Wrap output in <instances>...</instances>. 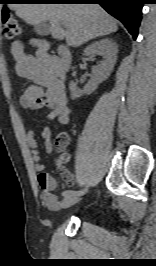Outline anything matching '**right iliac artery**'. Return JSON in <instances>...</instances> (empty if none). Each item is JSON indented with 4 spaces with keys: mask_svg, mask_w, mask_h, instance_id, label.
<instances>
[{
    "mask_svg": "<svg viewBox=\"0 0 156 266\" xmlns=\"http://www.w3.org/2000/svg\"><path fill=\"white\" fill-rule=\"evenodd\" d=\"M90 188V185H85V188H82V191H72V190H66L62 193V195L66 197H71V196H79L83 194L84 192L87 191V189Z\"/></svg>",
    "mask_w": 156,
    "mask_h": 266,
    "instance_id": "right-iliac-artery-1",
    "label": "right iliac artery"
}]
</instances>
